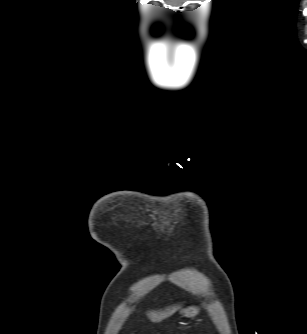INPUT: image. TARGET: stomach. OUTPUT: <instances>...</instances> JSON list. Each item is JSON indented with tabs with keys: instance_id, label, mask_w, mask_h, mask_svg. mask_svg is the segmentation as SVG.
<instances>
[{
	"instance_id": "obj_1",
	"label": "stomach",
	"mask_w": 307,
	"mask_h": 334,
	"mask_svg": "<svg viewBox=\"0 0 307 334\" xmlns=\"http://www.w3.org/2000/svg\"><path fill=\"white\" fill-rule=\"evenodd\" d=\"M199 313V309L195 306L184 308L180 311L181 316L192 318L195 317Z\"/></svg>"
}]
</instances>
